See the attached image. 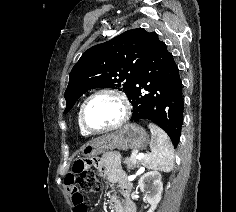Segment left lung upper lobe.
Masks as SVG:
<instances>
[{
    "instance_id": "5c2ea615",
    "label": "left lung upper lobe",
    "mask_w": 236,
    "mask_h": 212,
    "mask_svg": "<svg viewBox=\"0 0 236 212\" xmlns=\"http://www.w3.org/2000/svg\"><path fill=\"white\" fill-rule=\"evenodd\" d=\"M151 35L143 28L132 29L86 50L70 72L64 113L94 88L124 90L129 97Z\"/></svg>"
}]
</instances>
